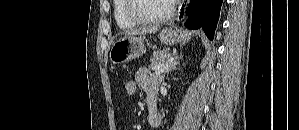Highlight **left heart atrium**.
<instances>
[{
	"label": "left heart atrium",
	"mask_w": 299,
	"mask_h": 130,
	"mask_svg": "<svg viewBox=\"0 0 299 130\" xmlns=\"http://www.w3.org/2000/svg\"><path fill=\"white\" fill-rule=\"evenodd\" d=\"M169 2H170V3H175V2H176V0H170Z\"/></svg>",
	"instance_id": "1"
}]
</instances>
